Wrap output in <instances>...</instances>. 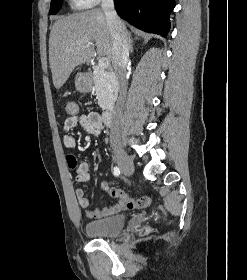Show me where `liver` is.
Wrapping results in <instances>:
<instances>
[{
	"mask_svg": "<svg viewBox=\"0 0 247 280\" xmlns=\"http://www.w3.org/2000/svg\"><path fill=\"white\" fill-rule=\"evenodd\" d=\"M112 36L104 12L94 9L58 19L49 37V64L59 89L75 67L95 54L112 61Z\"/></svg>",
	"mask_w": 247,
	"mask_h": 280,
	"instance_id": "1",
	"label": "liver"
}]
</instances>
